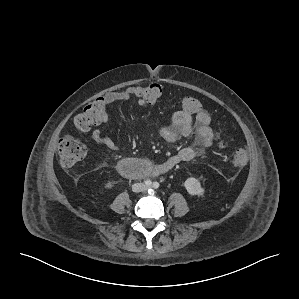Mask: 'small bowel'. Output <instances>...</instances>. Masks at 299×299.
Returning <instances> with one entry per match:
<instances>
[{
    "label": "small bowel",
    "instance_id": "c3829d8e",
    "mask_svg": "<svg viewBox=\"0 0 299 299\" xmlns=\"http://www.w3.org/2000/svg\"><path fill=\"white\" fill-rule=\"evenodd\" d=\"M136 98L137 104L144 107L147 103L136 93V87H128L121 91H112L105 94L99 99L105 106L104 114L98 123L99 125L106 124L109 120L107 106L120 101H128ZM211 117L204 110L200 109L196 113L189 114L183 110L173 114L171 123L163 126L160 129V136L167 142H177L181 139L195 135L196 142L193 146H188L180 149L177 153L166 159L165 161L149 165V173L147 175L157 176L164 174L174 168L181 162H187L195 159L198 155L204 153L212 146L215 140V134L211 128ZM93 140L106 148L116 151L118 149L115 141L108 135L104 134L100 128L92 131Z\"/></svg>",
    "mask_w": 299,
    "mask_h": 299
}]
</instances>
